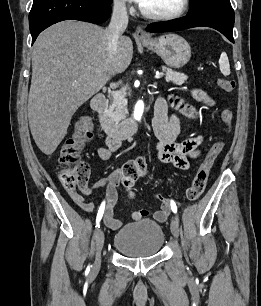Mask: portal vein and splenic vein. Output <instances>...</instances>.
<instances>
[{
    "instance_id": "obj_1",
    "label": "portal vein and splenic vein",
    "mask_w": 261,
    "mask_h": 306,
    "mask_svg": "<svg viewBox=\"0 0 261 306\" xmlns=\"http://www.w3.org/2000/svg\"><path fill=\"white\" fill-rule=\"evenodd\" d=\"M163 76V73H157L155 76H154V78L155 79H159V78H161Z\"/></svg>"
}]
</instances>
